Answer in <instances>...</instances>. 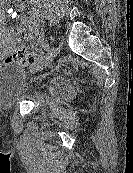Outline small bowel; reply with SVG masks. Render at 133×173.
Returning <instances> with one entry per match:
<instances>
[{
    "instance_id": "c3829d8e",
    "label": "small bowel",
    "mask_w": 133,
    "mask_h": 173,
    "mask_svg": "<svg viewBox=\"0 0 133 173\" xmlns=\"http://www.w3.org/2000/svg\"><path fill=\"white\" fill-rule=\"evenodd\" d=\"M22 7L30 6V11L27 17L21 18V25L5 30L3 28L5 15L4 12L0 9V38L2 42L0 43V50L5 52L7 49L8 40L13 36L21 37L25 40H34L40 30V17H39V0H22ZM33 60L36 59V55L31 54Z\"/></svg>"
}]
</instances>
